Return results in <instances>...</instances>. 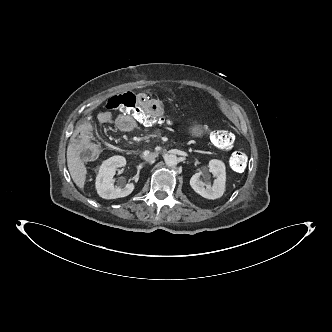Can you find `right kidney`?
<instances>
[{
	"label": "right kidney",
	"instance_id": "ca27d5eb",
	"mask_svg": "<svg viewBox=\"0 0 332 332\" xmlns=\"http://www.w3.org/2000/svg\"><path fill=\"white\" fill-rule=\"evenodd\" d=\"M126 159L123 156H113L105 160L99 169L96 177V190L104 199H116L126 197L134 190V184H126L124 187H115L113 177L117 168L124 167Z\"/></svg>",
	"mask_w": 332,
	"mask_h": 332
}]
</instances>
